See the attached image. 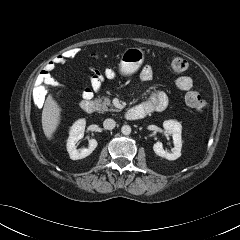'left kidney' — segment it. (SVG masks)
<instances>
[{
    "label": "left kidney",
    "mask_w": 240,
    "mask_h": 240,
    "mask_svg": "<svg viewBox=\"0 0 240 240\" xmlns=\"http://www.w3.org/2000/svg\"><path fill=\"white\" fill-rule=\"evenodd\" d=\"M163 127H164L165 132L172 136L174 148L172 149V152L169 153L163 149L162 143L160 141H158L153 145V150L160 157L166 158L167 160H176L181 156L182 126L178 121L166 120L163 122Z\"/></svg>",
    "instance_id": "5707ae66"
}]
</instances>
